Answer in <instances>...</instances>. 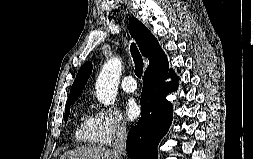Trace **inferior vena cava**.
<instances>
[{
	"label": "inferior vena cava",
	"instance_id": "1",
	"mask_svg": "<svg viewBox=\"0 0 253 159\" xmlns=\"http://www.w3.org/2000/svg\"><path fill=\"white\" fill-rule=\"evenodd\" d=\"M126 126L124 124H118L116 128V135L114 140V152L118 155L126 154Z\"/></svg>",
	"mask_w": 253,
	"mask_h": 159
}]
</instances>
